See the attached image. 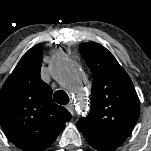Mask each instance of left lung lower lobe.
<instances>
[{"label":"left lung lower lobe","mask_w":151,"mask_h":151,"mask_svg":"<svg viewBox=\"0 0 151 151\" xmlns=\"http://www.w3.org/2000/svg\"><path fill=\"white\" fill-rule=\"evenodd\" d=\"M89 144L98 151H113L125 140L119 138L85 137Z\"/></svg>","instance_id":"obj_1"}]
</instances>
